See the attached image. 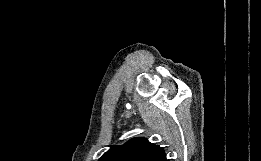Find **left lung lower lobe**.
<instances>
[{"instance_id": "obj_1", "label": "left lung lower lobe", "mask_w": 261, "mask_h": 161, "mask_svg": "<svg viewBox=\"0 0 261 161\" xmlns=\"http://www.w3.org/2000/svg\"><path fill=\"white\" fill-rule=\"evenodd\" d=\"M156 161H167L165 158V154L163 153Z\"/></svg>"}]
</instances>
